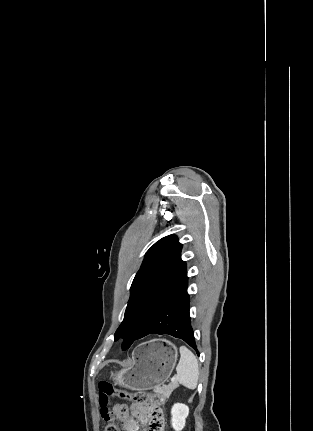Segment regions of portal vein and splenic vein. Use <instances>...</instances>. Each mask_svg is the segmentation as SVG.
Masks as SVG:
<instances>
[{
  "label": "portal vein and splenic vein",
  "instance_id": "1",
  "mask_svg": "<svg viewBox=\"0 0 313 431\" xmlns=\"http://www.w3.org/2000/svg\"><path fill=\"white\" fill-rule=\"evenodd\" d=\"M175 380V376L172 378V381H174Z\"/></svg>",
  "mask_w": 313,
  "mask_h": 431
}]
</instances>
